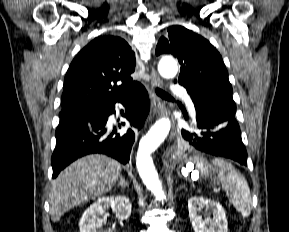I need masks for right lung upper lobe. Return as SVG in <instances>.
<instances>
[{"label":"right lung upper lobe","mask_w":289,"mask_h":232,"mask_svg":"<svg viewBox=\"0 0 289 232\" xmlns=\"http://www.w3.org/2000/svg\"><path fill=\"white\" fill-rule=\"evenodd\" d=\"M135 64V54L124 39L97 37L78 53L67 71L62 111L112 105L127 99L140 86L130 77Z\"/></svg>","instance_id":"obj_1"}]
</instances>
